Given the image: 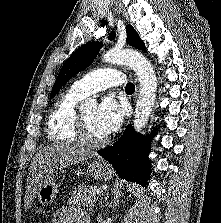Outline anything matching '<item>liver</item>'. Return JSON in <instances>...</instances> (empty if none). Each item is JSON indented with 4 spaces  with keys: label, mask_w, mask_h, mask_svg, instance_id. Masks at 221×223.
I'll return each instance as SVG.
<instances>
[{
    "label": "liver",
    "mask_w": 221,
    "mask_h": 223,
    "mask_svg": "<svg viewBox=\"0 0 221 223\" xmlns=\"http://www.w3.org/2000/svg\"><path fill=\"white\" fill-rule=\"evenodd\" d=\"M93 156H95L93 151L67 142H54L41 149L34 156L27 177L26 208L31 206L39 186L45 178L53 175L55 170L68 167Z\"/></svg>",
    "instance_id": "1"
}]
</instances>
